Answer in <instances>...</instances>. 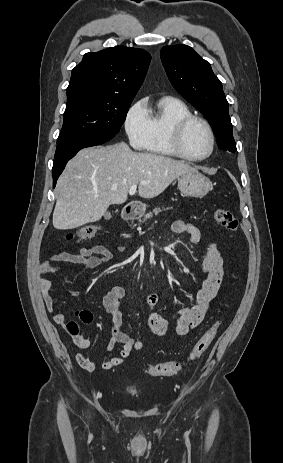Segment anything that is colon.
Instances as JSON below:
<instances>
[{"mask_svg": "<svg viewBox=\"0 0 283 463\" xmlns=\"http://www.w3.org/2000/svg\"><path fill=\"white\" fill-rule=\"evenodd\" d=\"M215 220L230 232L238 230V220L233 213L226 209H217L214 212ZM99 226L97 224H90L79 228L73 233L67 235L68 240H73L78 243L90 240L99 233ZM77 320L69 321L66 325L67 331L72 336H80V323H87L92 320V314L88 311H80L77 313ZM220 323L216 322L209 328L193 348L181 359L162 362L153 365L149 373L153 377H166L172 376L182 370L188 363L199 359L209 348L214 340Z\"/></svg>", "mask_w": 283, "mask_h": 463, "instance_id": "colon-1", "label": "colon"}]
</instances>
